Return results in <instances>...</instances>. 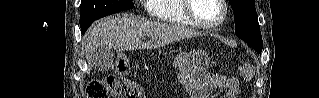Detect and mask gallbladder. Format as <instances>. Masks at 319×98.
I'll use <instances>...</instances> for the list:
<instances>
[{
  "label": "gallbladder",
  "mask_w": 319,
  "mask_h": 98,
  "mask_svg": "<svg viewBox=\"0 0 319 98\" xmlns=\"http://www.w3.org/2000/svg\"><path fill=\"white\" fill-rule=\"evenodd\" d=\"M92 67L95 70L102 71L109 69L114 60L112 51L109 48H99L92 56Z\"/></svg>",
  "instance_id": "obj_1"
}]
</instances>
